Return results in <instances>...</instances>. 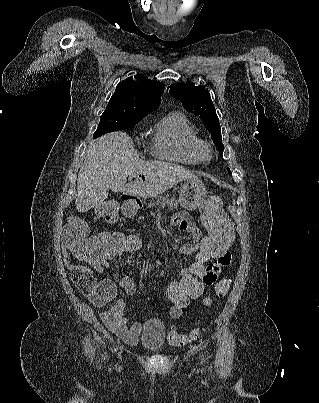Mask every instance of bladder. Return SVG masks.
Returning a JSON list of instances; mask_svg holds the SVG:
<instances>
[{
  "mask_svg": "<svg viewBox=\"0 0 319 403\" xmlns=\"http://www.w3.org/2000/svg\"><path fill=\"white\" fill-rule=\"evenodd\" d=\"M143 335L140 345L150 351H158L165 341V327L159 320H149L142 325Z\"/></svg>",
  "mask_w": 319,
  "mask_h": 403,
  "instance_id": "1",
  "label": "bladder"
}]
</instances>
